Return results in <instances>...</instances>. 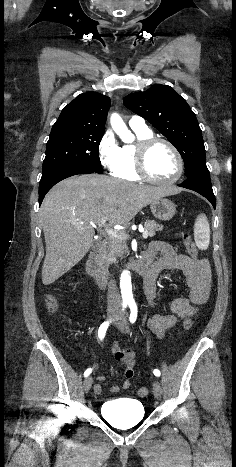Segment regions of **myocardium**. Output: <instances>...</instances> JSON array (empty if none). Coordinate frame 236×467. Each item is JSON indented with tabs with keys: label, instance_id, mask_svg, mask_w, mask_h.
Returning a JSON list of instances; mask_svg holds the SVG:
<instances>
[{
	"label": "myocardium",
	"instance_id": "f54148a6",
	"mask_svg": "<svg viewBox=\"0 0 236 467\" xmlns=\"http://www.w3.org/2000/svg\"><path fill=\"white\" fill-rule=\"evenodd\" d=\"M162 143L165 144L170 148V150L174 153L177 162H178V170L176 175L169 179V180H159L154 178L147 169V157L151 150V148L157 144ZM135 167L137 174L144 180L158 185H170L176 183L183 175L184 172V160L177 149V147L169 140L157 137V136H150L144 139H141L135 148Z\"/></svg>",
	"mask_w": 236,
	"mask_h": 467
}]
</instances>
